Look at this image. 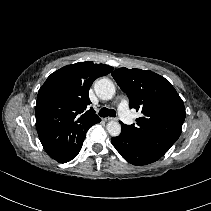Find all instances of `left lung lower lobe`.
I'll return each mask as SVG.
<instances>
[{"label": "left lung lower lobe", "instance_id": "1", "mask_svg": "<svg viewBox=\"0 0 211 211\" xmlns=\"http://www.w3.org/2000/svg\"><path fill=\"white\" fill-rule=\"evenodd\" d=\"M121 126L122 131L120 135L112 137L111 142L126 161L141 166L153 163L161 158L151 152L139 139L133 136L123 123H121Z\"/></svg>", "mask_w": 211, "mask_h": 211}]
</instances>
